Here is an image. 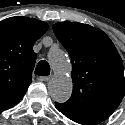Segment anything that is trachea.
Masks as SVG:
<instances>
[{
	"instance_id": "1",
	"label": "trachea",
	"mask_w": 125,
	"mask_h": 125,
	"mask_svg": "<svg viewBox=\"0 0 125 125\" xmlns=\"http://www.w3.org/2000/svg\"><path fill=\"white\" fill-rule=\"evenodd\" d=\"M35 74L40 75V76H47L50 74V66L47 61L41 60L36 69H35Z\"/></svg>"
}]
</instances>
